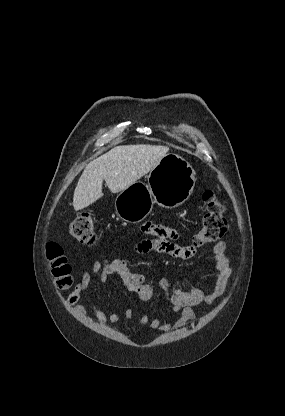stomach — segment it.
<instances>
[{
	"instance_id": "stomach-1",
	"label": "stomach",
	"mask_w": 285,
	"mask_h": 416,
	"mask_svg": "<svg viewBox=\"0 0 285 416\" xmlns=\"http://www.w3.org/2000/svg\"><path fill=\"white\" fill-rule=\"evenodd\" d=\"M195 182V172L184 158L177 154H166L150 170L147 184L135 182L118 194L115 200L116 214L124 222L137 224L149 216L154 204L161 208H177L190 198Z\"/></svg>"
}]
</instances>
